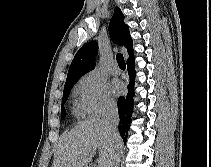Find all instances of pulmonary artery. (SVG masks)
I'll return each instance as SVG.
<instances>
[{"instance_id":"obj_1","label":"pulmonary artery","mask_w":211,"mask_h":167,"mask_svg":"<svg viewBox=\"0 0 211 167\" xmlns=\"http://www.w3.org/2000/svg\"><path fill=\"white\" fill-rule=\"evenodd\" d=\"M110 73L112 75H119L120 74V69L118 68V66L116 64H113L111 69H110Z\"/></svg>"}]
</instances>
